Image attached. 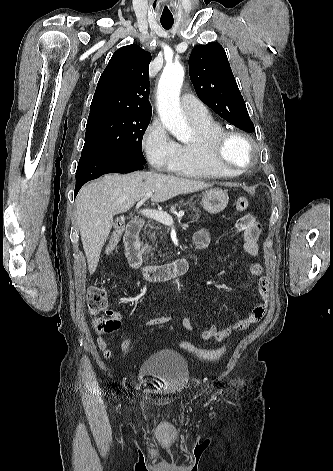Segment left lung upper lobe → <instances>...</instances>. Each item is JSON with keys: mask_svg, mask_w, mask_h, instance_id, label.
I'll return each mask as SVG.
<instances>
[{"mask_svg": "<svg viewBox=\"0 0 333 471\" xmlns=\"http://www.w3.org/2000/svg\"><path fill=\"white\" fill-rule=\"evenodd\" d=\"M189 72L202 102L232 125L246 132L255 131L225 50L219 43L195 46L189 59Z\"/></svg>", "mask_w": 333, "mask_h": 471, "instance_id": "5c2ea615", "label": "left lung upper lobe"}]
</instances>
